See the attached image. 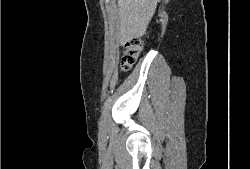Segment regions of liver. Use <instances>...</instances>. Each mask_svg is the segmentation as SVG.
<instances>
[{
	"label": "liver",
	"mask_w": 250,
	"mask_h": 169,
	"mask_svg": "<svg viewBox=\"0 0 250 169\" xmlns=\"http://www.w3.org/2000/svg\"><path fill=\"white\" fill-rule=\"evenodd\" d=\"M157 2L159 0H118L122 44L130 38L145 34Z\"/></svg>",
	"instance_id": "obj_1"
}]
</instances>
